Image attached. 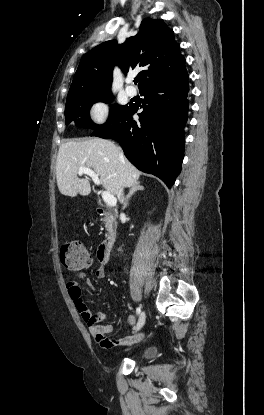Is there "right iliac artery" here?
Masks as SVG:
<instances>
[{"label": "right iliac artery", "instance_id": "82829eb1", "mask_svg": "<svg viewBox=\"0 0 264 415\" xmlns=\"http://www.w3.org/2000/svg\"><path fill=\"white\" fill-rule=\"evenodd\" d=\"M136 313H137V315H139V314L141 313V308H140V307H138V308L136 309Z\"/></svg>", "mask_w": 264, "mask_h": 415}]
</instances>
